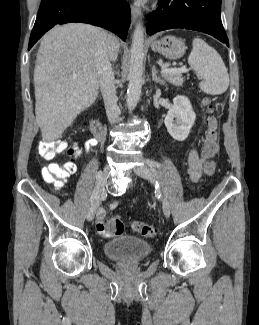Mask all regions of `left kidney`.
<instances>
[{
	"label": "left kidney",
	"instance_id": "5707ae66",
	"mask_svg": "<svg viewBox=\"0 0 259 325\" xmlns=\"http://www.w3.org/2000/svg\"><path fill=\"white\" fill-rule=\"evenodd\" d=\"M196 114L189 99L178 95L173 99V106L165 117L168 133L177 141H184L194 125Z\"/></svg>",
	"mask_w": 259,
	"mask_h": 325
}]
</instances>
